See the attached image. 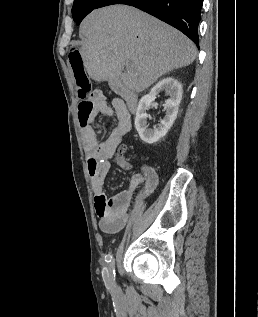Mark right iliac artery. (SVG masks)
Wrapping results in <instances>:
<instances>
[{
  "instance_id": "1",
  "label": "right iliac artery",
  "mask_w": 258,
  "mask_h": 317,
  "mask_svg": "<svg viewBox=\"0 0 258 317\" xmlns=\"http://www.w3.org/2000/svg\"><path fill=\"white\" fill-rule=\"evenodd\" d=\"M115 260L111 261L110 264V279L109 281H105V286L107 288L108 291H110L111 293L115 292L116 289V283H115Z\"/></svg>"
}]
</instances>
